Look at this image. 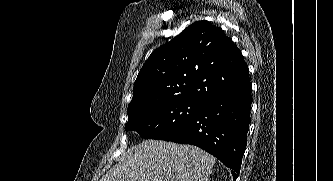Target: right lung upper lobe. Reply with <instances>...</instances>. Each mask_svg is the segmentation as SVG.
Listing matches in <instances>:
<instances>
[{
    "mask_svg": "<svg viewBox=\"0 0 333 181\" xmlns=\"http://www.w3.org/2000/svg\"><path fill=\"white\" fill-rule=\"evenodd\" d=\"M250 81L241 51L208 21H197L159 47L141 68L127 112L168 100L203 102Z\"/></svg>",
    "mask_w": 333,
    "mask_h": 181,
    "instance_id": "cb5924a9",
    "label": "right lung upper lobe"
}]
</instances>
